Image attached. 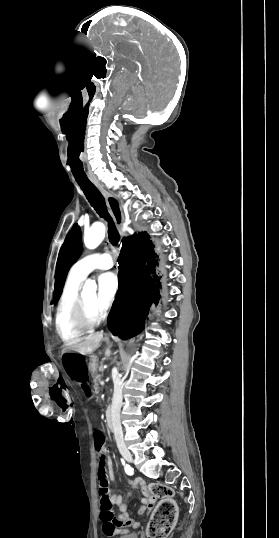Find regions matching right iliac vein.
I'll return each mask as SVG.
<instances>
[{"instance_id": "1", "label": "right iliac vein", "mask_w": 279, "mask_h": 538, "mask_svg": "<svg viewBox=\"0 0 279 538\" xmlns=\"http://www.w3.org/2000/svg\"><path fill=\"white\" fill-rule=\"evenodd\" d=\"M126 461L133 462L132 455L129 452H125L122 454Z\"/></svg>"}]
</instances>
